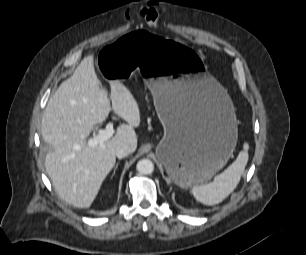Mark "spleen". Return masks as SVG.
I'll return each instance as SVG.
<instances>
[{
    "label": "spleen",
    "mask_w": 306,
    "mask_h": 255,
    "mask_svg": "<svg viewBox=\"0 0 306 255\" xmlns=\"http://www.w3.org/2000/svg\"><path fill=\"white\" fill-rule=\"evenodd\" d=\"M236 160L222 173L214 178V181L204 185H194L192 193L196 200L205 205H215L227 198L238 185L241 175L248 162V144L243 146Z\"/></svg>",
    "instance_id": "1"
}]
</instances>
